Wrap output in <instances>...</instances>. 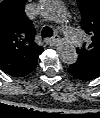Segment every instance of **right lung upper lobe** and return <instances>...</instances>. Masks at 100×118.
<instances>
[{
    "mask_svg": "<svg viewBox=\"0 0 100 118\" xmlns=\"http://www.w3.org/2000/svg\"><path fill=\"white\" fill-rule=\"evenodd\" d=\"M26 1L0 3V67L14 77L31 73L43 50L35 43L34 27L24 14Z\"/></svg>",
    "mask_w": 100,
    "mask_h": 118,
    "instance_id": "right-lung-upper-lobe-1",
    "label": "right lung upper lobe"
}]
</instances>
